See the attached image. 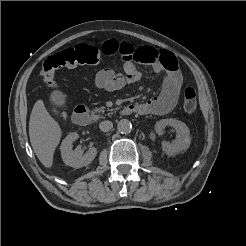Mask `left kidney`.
Segmentation results:
<instances>
[{"label": "left kidney", "mask_w": 246, "mask_h": 246, "mask_svg": "<svg viewBox=\"0 0 246 246\" xmlns=\"http://www.w3.org/2000/svg\"><path fill=\"white\" fill-rule=\"evenodd\" d=\"M166 126L173 127L177 134L174 142H162V150L168 155H173L183 150H187L191 144L190 130L188 126L184 122L176 119H162L155 124L156 133L158 135H162Z\"/></svg>", "instance_id": "obj_1"}]
</instances>
